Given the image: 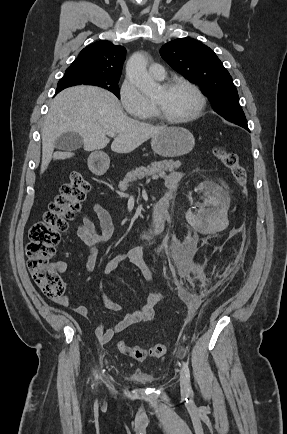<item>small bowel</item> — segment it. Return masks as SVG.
Segmentation results:
<instances>
[{"mask_svg": "<svg viewBox=\"0 0 287 434\" xmlns=\"http://www.w3.org/2000/svg\"><path fill=\"white\" fill-rule=\"evenodd\" d=\"M181 179L182 173L174 172L171 173L166 180L168 193L159 202L164 205V219L160 223L156 235H160L163 231L173 193L176 190ZM92 212L97 216L99 220L101 233L97 231L96 226L93 224L88 214L82 217L76 227L77 235L89 248V255L85 266L87 273H91L95 268L98 247L102 243L106 242L114 232L113 219L110 212L106 208H104L101 204L96 203L92 207ZM123 262H129L133 266L137 267L147 280L151 281L154 279L153 272L145 260L144 249L140 246L134 247L126 252L118 253L112 258H110L103 268V274L105 276L112 274ZM53 266L58 272L61 273H63L67 268L66 263L63 261H59ZM162 297L163 296L160 292L150 293L145 296L144 303L139 310L128 313L114 326L105 327L104 325H98L95 328V335L99 342L101 344H106L110 342L117 334L123 332L131 325L151 320L153 318L155 308L162 300ZM102 298L108 310L112 312H119L121 310V306L105 293H102ZM56 302L63 307H68L70 304V299L67 295H64L60 298H57ZM72 311L75 315L79 317H85L88 314V309L84 305H78L74 307Z\"/></svg>", "mask_w": 287, "mask_h": 434, "instance_id": "c3829d8e", "label": "small bowel"}]
</instances>
